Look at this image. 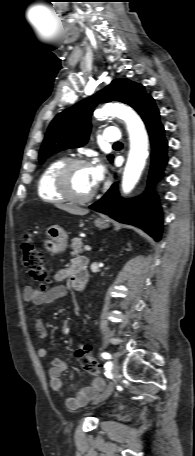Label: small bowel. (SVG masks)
<instances>
[{
	"instance_id": "c3829d8e",
	"label": "small bowel",
	"mask_w": 195,
	"mask_h": 456,
	"mask_svg": "<svg viewBox=\"0 0 195 456\" xmlns=\"http://www.w3.org/2000/svg\"><path fill=\"white\" fill-rule=\"evenodd\" d=\"M81 259L75 260L71 266L59 270L55 274L56 281H62L66 278L73 276L74 269L77 263ZM67 289L63 285H55L48 290H41L33 287H25L23 290V299L26 302L32 303L33 305L40 306L50 304L56 300L62 299L66 296ZM35 328L40 338L44 339L47 335L46 329L40 320H36ZM48 350L45 346H41L38 349V355L40 357H46ZM68 364L61 358H54L51 361V365L47 370L49 377V385L53 392L58 396L65 398V392L63 383L61 380V374L66 371ZM104 387V381L102 379H94L89 385L82 388L74 397L65 398V404L69 409H77L85 405L91 398H93L102 388Z\"/></svg>"
}]
</instances>
